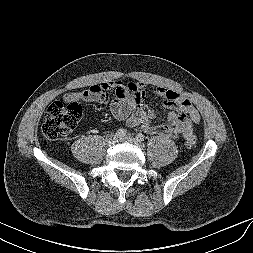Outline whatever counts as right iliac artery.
Listing matches in <instances>:
<instances>
[{
	"label": "right iliac artery",
	"mask_w": 253,
	"mask_h": 253,
	"mask_svg": "<svg viewBox=\"0 0 253 253\" xmlns=\"http://www.w3.org/2000/svg\"><path fill=\"white\" fill-rule=\"evenodd\" d=\"M127 131L125 129H118L116 131V136L118 138H123L126 135Z\"/></svg>",
	"instance_id": "right-iliac-artery-1"
}]
</instances>
